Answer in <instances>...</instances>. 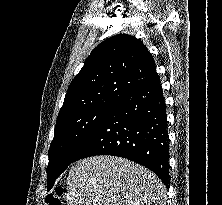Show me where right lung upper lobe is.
Wrapping results in <instances>:
<instances>
[{"label":"right lung upper lobe","mask_w":222,"mask_h":205,"mask_svg":"<svg viewBox=\"0 0 222 205\" xmlns=\"http://www.w3.org/2000/svg\"><path fill=\"white\" fill-rule=\"evenodd\" d=\"M158 74L146 46L126 34L113 36L91 52L71 82L57 121L106 102H119Z\"/></svg>","instance_id":"right-lung-upper-lobe-1"}]
</instances>
